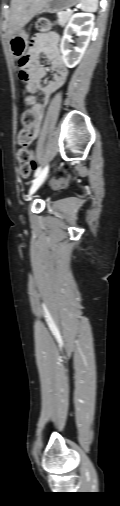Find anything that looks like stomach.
<instances>
[{"label":"stomach","instance_id":"1","mask_svg":"<svg viewBox=\"0 0 120 506\" xmlns=\"http://www.w3.org/2000/svg\"><path fill=\"white\" fill-rule=\"evenodd\" d=\"M80 0H48L44 7L45 12L55 13L69 9L79 3ZM29 44L28 33L20 29L9 39V46L15 59L21 58L27 51Z\"/></svg>","mask_w":120,"mask_h":506}]
</instances>
